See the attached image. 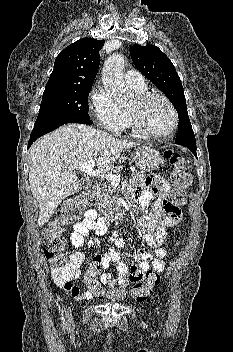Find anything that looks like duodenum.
I'll return each mask as SVG.
<instances>
[{"label":"duodenum","mask_w":233,"mask_h":352,"mask_svg":"<svg viewBox=\"0 0 233 352\" xmlns=\"http://www.w3.org/2000/svg\"><path fill=\"white\" fill-rule=\"evenodd\" d=\"M100 187L98 184H95L92 189H91V194L95 195L98 191H99ZM118 215H120V210L116 209L113 210L111 212H105V213H101L100 214V218L105 222L109 219H112L114 217H117Z\"/></svg>","instance_id":"410a0bca"}]
</instances>
